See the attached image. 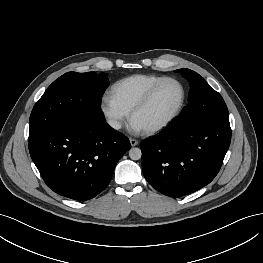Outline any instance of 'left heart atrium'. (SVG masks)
Returning a JSON list of instances; mask_svg holds the SVG:
<instances>
[{
	"instance_id": "39dd6f15",
	"label": "left heart atrium",
	"mask_w": 263,
	"mask_h": 263,
	"mask_svg": "<svg viewBox=\"0 0 263 263\" xmlns=\"http://www.w3.org/2000/svg\"><path fill=\"white\" fill-rule=\"evenodd\" d=\"M130 129L133 131H141L142 130V128L139 126V124L136 123L134 120H132L130 123Z\"/></svg>"
}]
</instances>
